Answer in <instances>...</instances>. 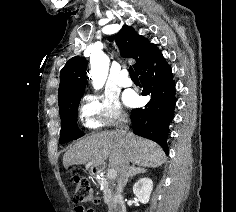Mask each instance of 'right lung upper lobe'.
Listing matches in <instances>:
<instances>
[{"mask_svg": "<svg viewBox=\"0 0 236 212\" xmlns=\"http://www.w3.org/2000/svg\"><path fill=\"white\" fill-rule=\"evenodd\" d=\"M113 39L118 45L122 57L135 59L136 63L133 67L136 72L155 47L127 25H124L117 34L110 38L111 41ZM86 70V59L79 56L71 58L62 68L58 92L59 110L64 109L72 100L83 95L87 82Z\"/></svg>", "mask_w": 236, "mask_h": 212, "instance_id": "cb5924a9", "label": "right lung upper lobe"}]
</instances>
